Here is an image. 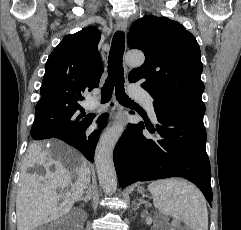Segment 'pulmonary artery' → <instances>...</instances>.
<instances>
[{"instance_id":"obj_1","label":"pulmonary artery","mask_w":241,"mask_h":230,"mask_svg":"<svg viewBox=\"0 0 241 230\" xmlns=\"http://www.w3.org/2000/svg\"><path fill=\"white\" fill-rule=\"evenodd\" d=\"M129 92L134 99L144 104L152 119L156 120L152 96L136 85H130ZM99 105V101H97L95 98H91L85 103V107L87 109H96L99 107Z\"/></svg>"}]
</instances>
